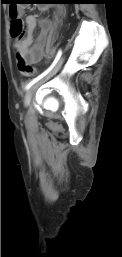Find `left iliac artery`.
Masks as SVG:
<instances>
[{"mask_svg": "<svg viewBox=\"0 0 122 257\" xmlns=\"http://www.w3.org/2000/svg\"><path fill=\"white\" fill-rule=\"evenodd\" d=\"M62 55V50L59 49V51L57 52V55L54 59V61L52 62V64L50 65V67L48 69H46L43 73H41L40 75H38L36 78L32 79L26 86V88H30L33 84H35L37 81H39L41 78H43L48 72H50L52 70V68L57 64V62L59 61L60 57Z\"/></svg>", "mask_w": 122, "mask_h": 257, "instance_id": "obj_1", "label": "left iliac artery"}]
</instances>
